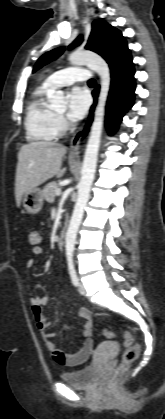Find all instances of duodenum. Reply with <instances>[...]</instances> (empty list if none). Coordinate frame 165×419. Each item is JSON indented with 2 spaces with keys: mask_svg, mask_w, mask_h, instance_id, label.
I'll list each match as a JSON object with an SVG mask.
<instances>
[{
  "mask_svg": "<svg viewBox=\"0 0 165 419\" xmlns=\"http://www.w3.org/2000/svg\"><path fill=\"white\" fill-rule=\"evenodd\" d=\"M65 239H66V229H65V227H63L62 230L60 231L58 241H57V245L60 249L63 248L64 243H65Z\"/></svg>",
  "mask_w": 165,
  "mask_h": 419,
  "instance_id": "duodenum-1",
  "label": "duodenum"
}]
</instances>
